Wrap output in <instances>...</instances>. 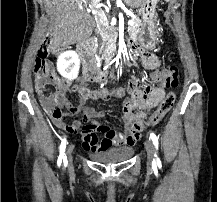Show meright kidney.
<instances>
[{"instance_id":"right-kidney-1","label":"right kidney","mask_w":217,"mask_h":202,"mask_svg":"<svg viewBox=\"0 0 217 202\" xmlns=\"http://www.w3.org/2000/svg\"><path fill=\"white\" fill-rule=\"evenodd\" d=\"M57 68L63 78L76 80L80 70V60L76 52H64V54H61L58 58Z\"/></svg>"}]
</instances>
